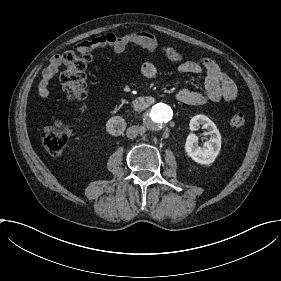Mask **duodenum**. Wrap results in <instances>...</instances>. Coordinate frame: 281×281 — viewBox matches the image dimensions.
<instances>
[{"instance_id":"1","label":"duodenum","mask_w":281,"mask_h":281,"mask_svg":"<svg viewBox=\"0 0 281 281\" xmlns=\"http://www.w3.org/2000/svg\"><path fill=\"white\" fill-rule=\"evenodd\" d=\"M154 102L155 99L151 96H140L132 102V108L134 111H142L149 108ZM125 127L126 120L120 115L110 118L106 125L107 131L111 135L115 136L120 135L124 131Z\"/></svg>"}]
</instances>
